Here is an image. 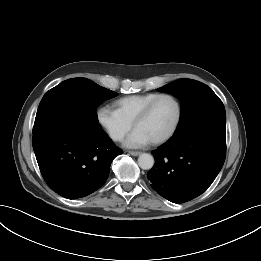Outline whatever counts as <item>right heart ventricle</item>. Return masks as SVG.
I'll list each match as a JSON object with an SVG mask.
<instances>
[{
  "label": "right heart ventricle",
  "mask_w": 261,
  "mask_h": 261,
  "mask_svg": "<svg viewBox=\"0 0 261 261\" xmlns=\"http://www.w3.org/2000/svg\"><path fill=\"white\" fill-rule=\"evenodd\" d=\"M158 93H146L122 97L114 102L115 110L130 123H133L138 113Z\"/></svg>",
  "instance_id": "obj_1"
}]
</instances>
